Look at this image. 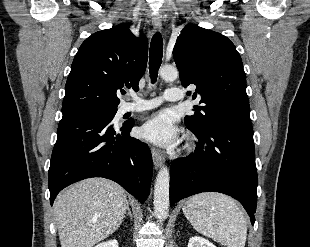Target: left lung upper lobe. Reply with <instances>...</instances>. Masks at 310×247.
Here are the masks:
<instances>
[{
	"label": "left lung upper lobe",
	"mask_w": 310,
	"mask_h": 247,
	"mask_svg": "<svg viewBox=\"0 0 310 247\" xmlns=\"http://www.w3.org/2000/svg\"><path fill=\"white\" fill-rule=\"evenodd\" d=\"M173 56L182 85L194 84L193 97L200 95L204 104L185 117L186 127L204 134L221 123H250L246 75L230 39L188 24L177 38Z\"/></svg>",
	"instance_id": "left-lung-upper-lobe-1"
}]
</instances>
